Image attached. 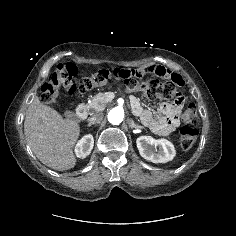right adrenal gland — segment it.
<instances>
[{"mask_svg":"<svg viewBox=\"0 0 236 236\" xmlns=\"http://www.w3.org/2000/svg\"><path fill=\"white\" fill-rule=\"evenodd\" d=\"M87 126H88V127H91V125H89V124H88Z\"/></svg>","mask_w":236,"mask_h":236,"instance_id":"1","label":"right adrenal gland"}]
</instances>
